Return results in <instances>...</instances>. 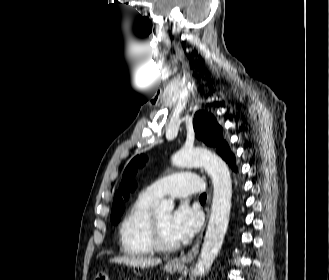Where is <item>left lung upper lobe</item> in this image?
Instances as JSON below:
<instances>
[{"mask_svg": "<svg viewBox=\"0 0 329 280\" xmlns=\"http://www.w3.org/2000/svg\"><path fill=\"white\" fill-rule=\"evenodd\" d=\"M193 126L197 138L203 139L208 145L215 146L217 153L226 162L230 163L232 159L235 162L234 155L229 150L228 144L222 138V128L211 113L206 111H198L195 113ZM144 163V156H136L126 167L123 173L120 189L114 196L110 218L112 223L117 224L119 222L121 215L125 210L124 200L128 199L130 191H133L136 187V182L133 181L132 178L137 173L138 167L143 166Z\"/></svg>", "mask_w": 329, "mask_h": 280, "instance_id": "1", "label": "left lung upper lobe"}]
</instances>
